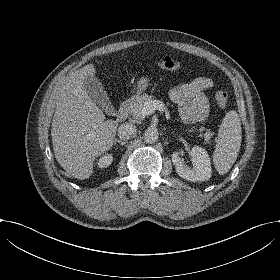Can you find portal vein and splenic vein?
<instances>
[{
    "label": "portal vein and splenic vein",
    "instance_id": "portal-vein-and-splenic-vein-1",
    "mask_svg": "<svg viewBox=\"0 0 280 280\" xmlns=\"http://www.w3.org/2000/svg\"><path fill=\"white\" fill-rule=\"evenodd\" d=\"M165 106L163 104V102L159 101V100H154V101H150L148 103H146L142 109V112L147 115V114H152L155 112V110H164Z\"/></svg>",
    "mask_w": 280,
    "mask_h": 280
}]
</instances>
